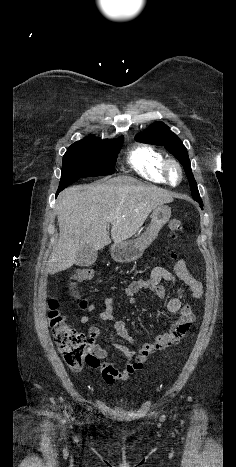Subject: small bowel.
Here are the masks:
<instances>
[{
  "mask_svg": "<svg viewBox=\"0 0 236 467\" xmlns=\"http://www.w3.org/2000/svg\"><path fill=\"white\" fill-rule=\"evenodd\" d=\"M162 281L171 284H176L178 281L185 284L192 296L200 299L203 295V286L188 270L187 262L184 259L177 261L174 266V272L167 270L162 266L154 267L148 278L133 280L126 285H113L109 288V295L104 299L103 310L97 315L100 319L112 321L115 326L116 334L122 340L129 344L136 342L133 335L129 332L124 321L117 319L114 314V295L122 294L129 298V303H134V296L143 290L152 291L158 298L163 299L166 295ZM184 294L179 291L174 297L170 298L166 304L167 310L171 313L178 314L169 331L159 335L153 342L144 343L138 351H134L128 346L114 342V347L122 352L129 362L122 368H116L112 363L105 361L107 351L103 349L97 342L100 337V330L96 326L89 328V353L87 364L91 368L101 372L103 380L107 384H112L115 381L128 380L132 375L142 370L145 362L150 354L159 350L171 347L177 344L180 339L189 331L194 315L189 304H183ZM95 305L90 303L85 308L86 314L80 319L83 325L88 324L94 317L92 312Z\"/></svg>",
  "mask_w": 236,
  "mask_h": 467,
  "instance_id": "small-bowel-1",
  "label": "small bowel"
}]
</instances>
